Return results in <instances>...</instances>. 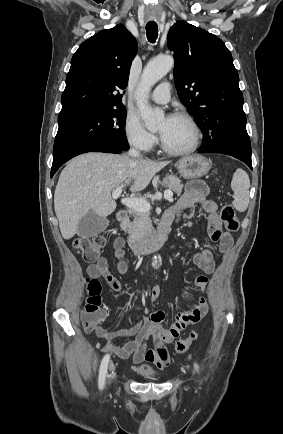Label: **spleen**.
Wrapping results in <instances>:
<instances>
[{
  "label": "spleen",
  "instance_id": "obj_1",
  "mask_svg": "<svg viewBox=\"0 0 283 434\" xmlns=\"http://www.w3.org/2000/svg\"><path fill=\"white\" fill-rule=\"evenodd\" d=\"M231 188L234 191L233 206L239 212L247 209L249 203L250 180L243 169H237L233 175Z\"/></svg>",
  "mask_w": 283,
  "mask_h": 434
}]
</instances>
